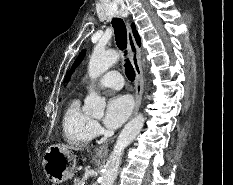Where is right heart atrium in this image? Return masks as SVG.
<instances>
[{
  "instance_id": "obj_1",
  "label": "right heart atrium",
  "mask_w": 233,
  "mask_h": 185,
  "mask_svg": "<svg viewBox=\"0 0 233 185\" xmlns=\"http://www.w3.org/2000/svg\"><path fill=\"white\" fill-rule=\"evenodd\" d=\"M102 129L101 126L99 125V123L97 121H92V125H91V133L93 137L98 136L101 133Z\"/></svg>"
}]
</instances>
